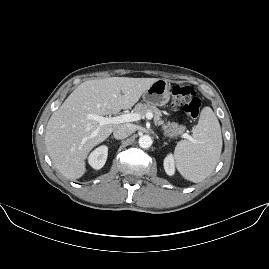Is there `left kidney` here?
<instances>
[{
  "mask_svg": "<svg viewBox=\"0 0 269 269\" xmlns=\"http://www.w3.org/2000/svg\"><path fill=\"white\" fill-rule=\"evenodd\" d=\"M164 168L167 174L172 175L174 173L173 160L171 156H168L164 161Z\"/></svg>",
  "mask_w": 269,
  "mask_h": 269,
  "instance_id": "5707ae66",
  "label": "left kidney"
}]
</instances>
